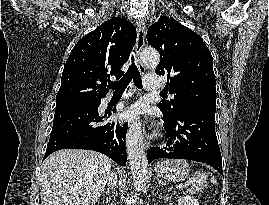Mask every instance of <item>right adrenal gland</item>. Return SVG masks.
<instances>
[{
  "mask_svg": "<svg viewBox=\"0 0 269 205\" xmlns=\"http://www.w3.org/2000/svg\"><path fill=\"white\" fill-rule=\"evenodd\" d=\"M106 193H107V194H109V193H110L109 189L106 191Z\"/></svg>",
  "mask_w": 269,
  "mask_h": 205,
  "instance_id": "2a0ac1e0",
  "label": "right adrenal gland"
}]
</instances>
